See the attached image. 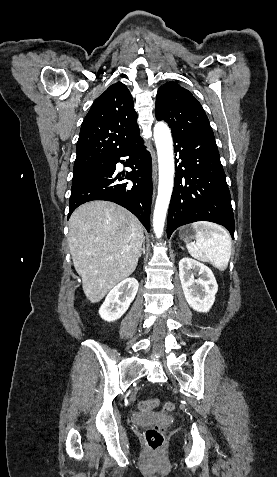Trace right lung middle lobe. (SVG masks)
Segmentation results:
<instances>
[{
    "label": "right lung middle lobe",
    "instance_id": "1",
    "mask_svg": "<svg viewBox=\"0 0 277 477\" xmlns=\"http://www.w3.org/2000/svg\"><path fill=\"white\" fill-rule=\"evenodd\" d=\"M93 166L90 167H83V168H74L73 171V179L80 176L81 174L89 171Z\"/></svg>",
    "mask_w": 277,
    "mask_h": 477
}]
</instances>
